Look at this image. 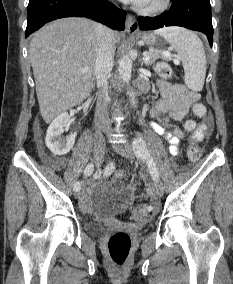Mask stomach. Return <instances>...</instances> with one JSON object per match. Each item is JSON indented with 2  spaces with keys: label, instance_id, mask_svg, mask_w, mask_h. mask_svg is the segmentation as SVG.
I'll use <instances>...</instances> for the list:
<instances>
[{
  "label": "stomach",
  "instance_id": "0dacf381",
  "mask_svg": "<svg viewBox=\"0 0 233 284\" xmlns=\"http://www.w3.org/2000/svg\"><path fill=\"white\" fill-rule=\"evenodd\" d=\"M141 41L150 47H156V50H162L159 45V37L155 33L147 32L140 36Z\"/></svg>",
  "mask_w": 233,
  "mask_h": 284
}]
</instances>
